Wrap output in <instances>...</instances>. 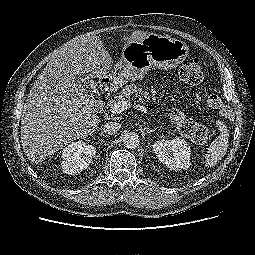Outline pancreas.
Segmentation results:
<instances>
[{"mask_svg":"<svg viewBox=\"0 0 255 255\" xmlns=\"http://www.w3.org/2000/svg\"><path fill=\"white\" fill-rule=\"evenodd\" d=\"M137 97H139L140 101H143L146 99L147 102H150V97L148 96V92L143 91L142 88H139L138 86L134 84L126 85L119 93L118 96H115L117 100H135ZM114 103V101L112 102Z\"/></svg>","mask_w":255,"mask_h":255,"instance_id":"1","label":"pancreas"}]
</instances>
